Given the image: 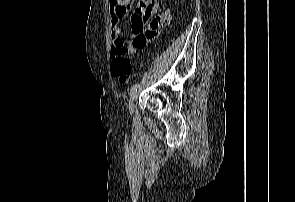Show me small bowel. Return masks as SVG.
<instances>
[{
    "mask_svg": "<svg viewBox=\"0 0 295 202\" xmlns=\"http://www.w3.org/2000/svg\"><path fill=\"white\" fill-rule=\"evenodd\" d=\"M110 23L112 57L119 49L126 48L134 52L143 48L150 39L168 22L171 11L169 8L158 10L156 0H139V4L131 15L132 38L128 46L121 39V20L131 9L133 0H110Z\"/></svg>",
    "mask_w": 295,
    "mask_h": 202,
    "instance_id": "obj_1",
    "label": "small bowel"
}]
</instances>
